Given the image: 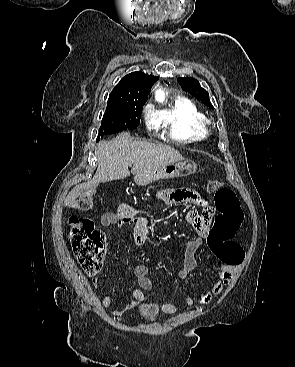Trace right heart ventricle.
<instances>
[{"instance_id":"e07e8e85","label":"right heart ventricle","mask_w":295,"mask_h":367,"mask_svg":"<svg viewBox=\"0 0 295 367\" xmlns=\"http://www.w3.org/2000/svg\"><path fill=\"white\" fill-rule=\"evenodd\" d=\"M157 128L169 139L189 143L209 135L207 116L189 99H177L168 109L154 116Z\"/></svg>"}]
</instances>
